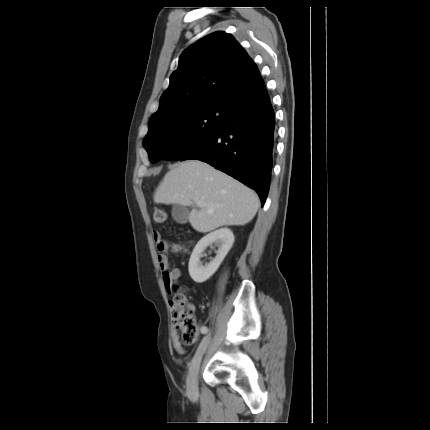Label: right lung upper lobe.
Segmentation results:
<instances>
[{
  "mask_svg": "<svg viewBox=\"0 0 430 430\" xmlns=\"http://www.w3.org/2000/svg\"><path fill=\"white\" fill-rule=\"evenodd\" d=\"M262 82L254 61L231 34L212 33L188 47L170 76L149 126L208 103L236 104Z\"/></svg>",
  "mask_w": 430,
  "mask_h": 430,
  "instance_id": "right-lung-upper-lobe-1",
  "label": "right lung upper lobe"
}]
</instances>
